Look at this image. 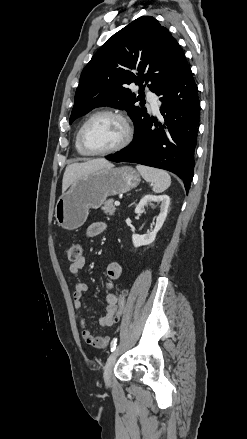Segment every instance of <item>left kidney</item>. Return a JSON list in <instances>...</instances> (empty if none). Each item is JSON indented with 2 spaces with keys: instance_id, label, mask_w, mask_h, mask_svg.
Returning <instances> with one entry per match:
<instances>
[{
  "instance_id": "left-kidney-1",
  "label": "left kidney",
  "mask_w": 247,
  "mask_h": 439,
  "mask_svg": "<svg viewBox=\"0 0 247 439\" xmlns=\"http://www.w3.org/2000/svg\"><path fill=\"white\" fill-rule=\"evenodd\" d=\"M152 202H160V214L156 219V224L154 227V230L148 234H144V235H137V234H133L132 235V242L134 247H140V246H144V245H149L152 242H154L156 235L158 233V231L161 229V227L163 226V223L167 217V213H168V208H169V204H170V198L168 195H151V194H147L145 195L140 202L138 203V205L135 208V213L136 214H141L144 212V208L148 205V204H152Z\"/></svg>"
}]
</instances>
